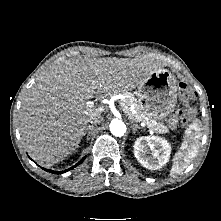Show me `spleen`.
Masks as SVG:
<instances>
[{"label": "spleen", "instance_id": "3e777b00", "mask_svg": "<svg viewBox=\"0 0 221 221\" xmlns=\"http://www.w3.org/2000/svg\"><path fill=\"white\" fill-rule=\"evenodd\" d=\"M199 131V122L195 121L189 127V132L186 135L180 150L174 155L170 176H174L175 174H179L184 171L198 155L199 141L201 138Z\"/></svg>", "mask_w": 221, "mask_h": 221}]
</instances>
